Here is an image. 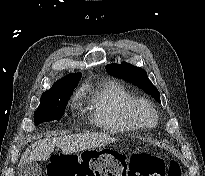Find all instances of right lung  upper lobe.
I'll return each instance as SVG.
<instances>
[{"label": "right lung upper lobe", "mask_w": 205, "mask_h": 176, "mask_svg": "<svg viewBox=\"0 0 205 176\" xmlns=\"http://www.w3.org/2000/svg\"><path fill=\"white\" fill-rule=\"evenodd\" d=\"M82 74L81 73H72L69 74L60 80H58L56 83L53 84V86L45 91L42 96H46L49 94H53L62 90H68L73 89L77 86Z\"/></svg>", "instance_id": "obj_1"}]
</instances>
